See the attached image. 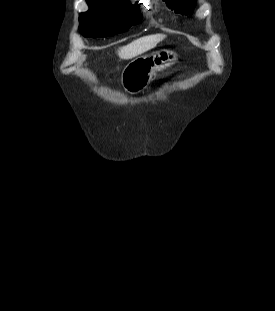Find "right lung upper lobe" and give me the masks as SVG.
<instances>
[{"label":"right lung upper lobe","instance_id":"1","mask_svg":"<svg viewBox=\"0 0 275 311\" xmlns=\"http://www.w3.org/2000/svg\"><path fill=\"white\" fill-rule=\"evenodd\" d=\"M88 5L96 4V3H123L129 2V0H86Z\"/></svg>","mask_w":275,"mask_h":311}]
</instances>
